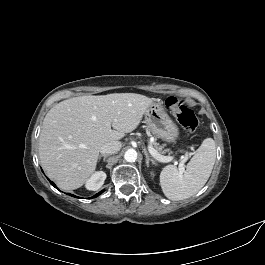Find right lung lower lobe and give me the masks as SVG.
Returning a JSON list of instances; mask_svg holds the SVG:
<instances>
[{"mask_svg": "<svg viewBox=\"0 0 265 265\" xmlns=\"http://www.w3.org/2000/svg\"><path fill=\"white\" fill-rule=\"evenodd\" d=\"M50 183H51L55 188H57L56 185H55L53 182L50 181ZM102 192H103V191L99 192L98 194H96L95 196H93V198L99 196ZM71 196H74V195H71ZM74 197H76V196H74Z\"/></svg>", "mask_w": 265, "mask_h": 265, "instance_id": "98d812e1", "label": "right lung lower lobe"}]
</instances>
